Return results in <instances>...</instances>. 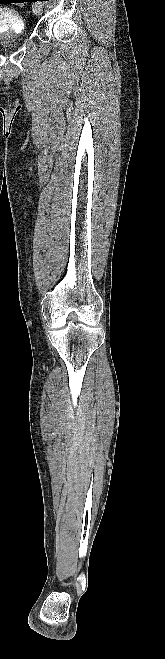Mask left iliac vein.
I'll return each instance as SVG.
<instances>
[{"instance_id":"1","label":"left iliac vein","mask_w":165,"mask_h":659,"mask_svg":"<svg viewBox=\"0 0 165 659\" xmlns=\"http://www.w3.org/2000/svg\"><path fill=\"white\" fill-rule=\"evenodd\" d=\"M33 12H34L36 15H39V16L42 15V12H43V11H42V6H41V4L35 3V4L33 5Z\"/></svg>"}]
</instances>
